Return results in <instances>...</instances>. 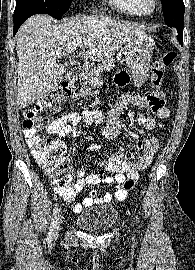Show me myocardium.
<instances>
[{
	"label": "myocardium",
	"instance_id": "myocardium-1",
	"mask_svg": "<svg viewBox=\"0 0 195 270\" xmlns=\"http://www.w3.org/2000/svg\"><path fill=\"white\" fill-rule=\"evenodd\" d=\"M139 5L145 13L154 12L159 6V0H138Z\"/></svg>",
	"mask_w": 195,
	"mask_h": 270
}]
</instances>
